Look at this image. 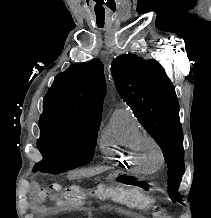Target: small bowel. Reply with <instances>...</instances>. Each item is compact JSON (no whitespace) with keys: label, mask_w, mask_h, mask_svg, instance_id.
Instances as JSON below:
<instances>
[{"label":"small bowel","mask_w":211,"mask_h":218,"mask_svg":"<svg viewBox=\"0 0 211 218\" xmlns=\"http://www.w3.org/2000/svg\"><path fill=\"white\" fill-rule=\"evenodd\" d=\"M31 197L33 199V203H34L35 207H37V208H41L47 199V196H46L44 190H39L36 187L33 188L32 192H31Z\"/></svg>","instance_id":"small-bowel-1"}]
</instances>
